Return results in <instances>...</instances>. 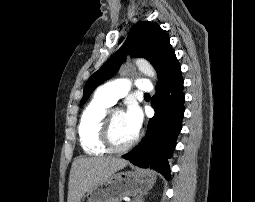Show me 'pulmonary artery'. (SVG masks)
Wrapping results in <instances>:
<instances>
[{"label":"pulmonary artery","instance_id":"1","mask_svg":"<svg viewBox=\"0 0 255 202\" xmlns=\"http://www.w3.org/2000/svg\"><path fill=\"white\" fill-rule=\"evenodd\" d=\"M134 85L138 90L145 93L153 90L151 82L146 78H135ZM131 86L132 82L129 78L114 79L100 86L96 91V95L109 104H114L129 92Z\"/></svg>","mask_w":255,"mask_h":202}]
</instances>
